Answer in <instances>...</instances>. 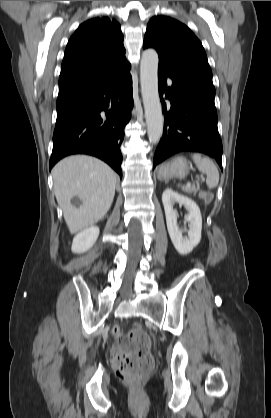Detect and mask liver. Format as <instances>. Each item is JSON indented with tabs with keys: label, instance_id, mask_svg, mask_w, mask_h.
<instances>
[{
	"label": "liver",
	"instance_id": "1",
	"mask_svg": "<svg viewBox=\"0 0 271 418\" xmlns=\"http://www.w3.org/2000/svg\"><path fill=\"white\" fill-rule=\"evenodd\" d=\"M54 192L71 234L78 233L101 219L111 207L115 195L116 173L101 160L86 156H70L52 170ZM78 196L75 207L71 199Z\"/></svg>",
	"mask_w": 271,
	"mask_h": 418
}]
</instances>
